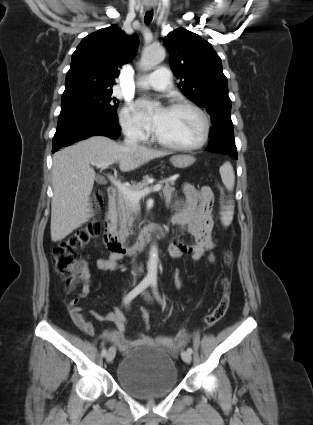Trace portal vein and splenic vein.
I'll return each mask as SVG.
<instances>
[{
  "instance_id": "1",
  "label": "portal vein and splenic vein",
  "mask_w": 313,
  "mask_h": 425,
  "mask_svg": "<svg viewBox=\"0 0 313 425\" xmlns=\"http://www.w3.org/2000/svg\"><path fill=\"white\" fill-rule=\"evenodd\" d=\"M112 164L113 162H91V165L96 166L97 168H100V169H106ZM109 178L111 182L116 186L118 191L123 193L127 197V199L133 203H138L139 200L143 198L144 196H146L147 194L151 192H158L162 188L161 184H157L153 187L145 188L139 192H134V191H131L127 186L122 184L119 180H117L113 176H109Z\"/></svg>"
}]
</instances>
